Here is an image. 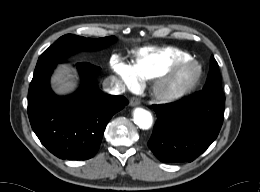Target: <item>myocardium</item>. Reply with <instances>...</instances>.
Listing matches in <instances>:
<instances>
[{
	"label": "myocardium",
	"mask_w": 260,
	"mask_h": 192,
	"mask_svg": "<svg viewBox=\"0 0 260 192\" xmlns=\"http://www.w3.org/2000/svg\"><path fill=\"white\" fill-rule=\"evenodd\" d=\"M186 69L193 70L192 77L180 85L170 86V83L177 75ZM201 76L202 70L196 61L188 59L178 62L154 80L151 86V93L155 99L161 102L177 100L193 90L199 83Z\"/></svg>",
	"instance_id": "myocardium-1"
}]
</instances>
